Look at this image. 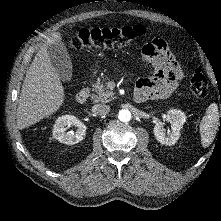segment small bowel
Listing matches in <instances>:
<instances>
[{
    "label": "small bowel",
    "instance_id": "1",
    "mask_svg": "<svg viewBox=\"0 0 221 221\" xmlns=\"http://www.w3.org/2000/svg\"><path fill=\"white\" fill-rule=\"evenodd\" d=\"M143 58L155 70L152 77L141 78L136 83L135 92L143 94L147 99H165L179 86L183 72L176 61L167 42L156 38L144 45Z\"/></svg>",
    "mask_w": 221,
    "mask_h": 221
}]
</instances>
